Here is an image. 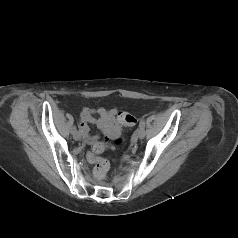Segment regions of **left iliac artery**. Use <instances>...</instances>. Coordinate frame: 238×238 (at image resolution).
Masks as SVG:
<instances>
[{
	"instance_id": "obj_1",
	"label": "left iliac artery",
	"mask_w": 238,
	"mask_h": 238,
	"mask_svg": "<svg viewBox=\"0 0 238 238\" xmlns=\"http://www.w3.org/2000/svg\"><path fill=\"white\" fill-rule=\"evenodd\" d=\"M139 127H140V128H144V127H145V121H144V119H141V121L139 122Z\"/></svg>"
}]
</instances>
